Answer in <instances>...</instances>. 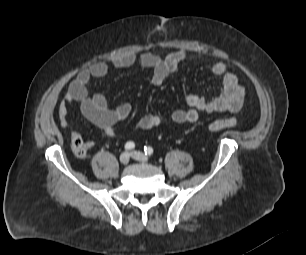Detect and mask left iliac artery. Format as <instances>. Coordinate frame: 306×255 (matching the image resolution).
I'll return each instance as SVG.
<instances>
[{
	"label": "left iliac artery",
	"mask_w": 306,
	"mask_h": 255,
	"mask_svg": "<svg viewBox=\"0 0 306 255\" xmlns=\"http://www.w3.org/2000/svg\"><path fill=\"white\" fill-rule=\"evenodd\" d=\"M144 152H145V154L146 155H152L153 154V148L152 147H150V146H145L144 147Z\"/></svg>",
	"instance_id": "obj_1"
}]
</instances>
